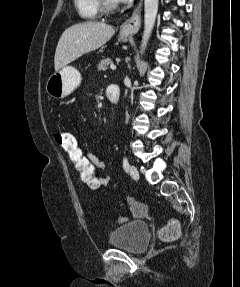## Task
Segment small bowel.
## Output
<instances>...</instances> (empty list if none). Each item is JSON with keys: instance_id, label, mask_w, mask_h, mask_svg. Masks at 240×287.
Returning <instances> with one entry per match:
<instances>
[{"instance_id": "small-bowel-1", "label": "small bowel", "mask_w": 240, "mask_h": 287, "mask_svg": "<svg viewBox=\"0 0 240 287\" xmlns=\"http://www.w3.org/2000/svg\"><path fill=\"white\" fill-rule=\"evenodd\" d=\"M86 155L88 157V159L90 160V162L97 168V169H103L106 166V163L104 160H102L100 157H98L97 155L90 153V152H86ZM113 178L111 176H105L102 177L101 176V184L102 186H108L111 182H112ZM127 202L132 210V212L137 215L139 212H146V206L137 201L135 198H133L132 196H128L127 197Z\"/></svg>"}]
</instances>
